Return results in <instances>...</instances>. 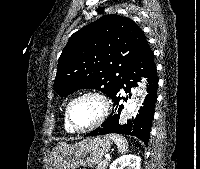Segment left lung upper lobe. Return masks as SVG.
Listing matches in <instances>:
<instances>
[{
  "label": "left lung upper lobe",
  "instance_id": "obj_1",
  "mask_svg": "<svg viewBox=\"0 0 200 169\" xmlns=\"http://www.w3.org/2000/svg\"><path fill=\"white\" fill-rule=\"evenodd\" d=\"M149 49L144 32L131 19L103 16L71 36L59 58L54 88L62 97L81 88L111 97Z\"/></svg>",
  "mask_w": 200,
  "mask_h": 169
}]
</instances>
